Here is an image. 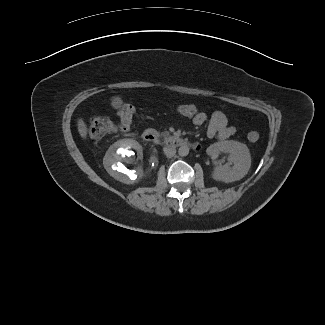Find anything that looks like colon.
I'll use <instances>...</instances> for the list:
<instances>
[{
    "instance_id": "5ec220e1",
    "label": "colon",
    "mask_w": 325,
    "mask_h": 325,
    "mask_svg": "<svg viewBox=\"0 0 325 325\" xmlns=\"http://www.w3.org/2000/svg\"><path fill=\"white\" fill-rule=\"evenodd\" d=\"M172 112L194 119L199 117L203 112L194 104H178L172 107ZM134 107L130 104H123L117 111L118 121L114 122L109 117L96 116L89 123V137L93 143H99L105 137L118 131H127L134 117ZM247 138L251 142H256L259 139V134L256 131H250Z\"/></svg>"
}]
</instances>
